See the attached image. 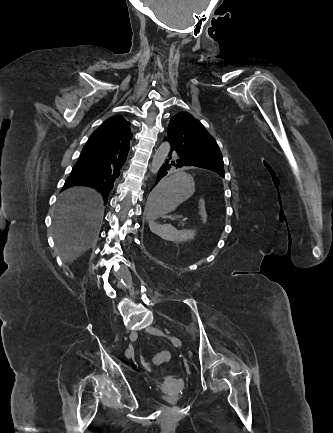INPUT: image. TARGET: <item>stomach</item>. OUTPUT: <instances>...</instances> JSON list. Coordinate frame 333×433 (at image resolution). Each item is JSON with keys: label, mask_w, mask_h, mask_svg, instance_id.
Returning a JSON list of instances; mask_svg holds the SVG:
<instances>
[{"label": "stomach", "mask_w": 333, "mask_h": 433, "mask_svg": "<svg viewBox=\"0 0 333 433\" xmlns=\"http://www.w3.org/2000/svg\"><path fill=\"white\" fill-rule=\"evenodd\" d=\"M195 185L193 178L174 169L172 174L161 176L160 183H153L144 209L145 220H164L165 215H173L185 199H193Z\"/></svg>", "instance_id": "obj_1"}]
</instances>
